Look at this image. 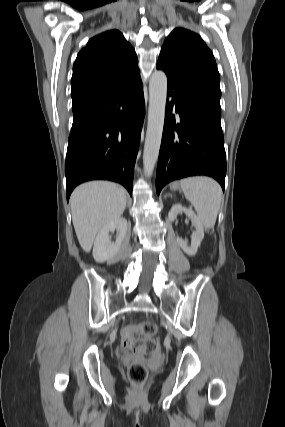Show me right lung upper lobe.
<instances>
[{"instance_id": "right-lung-upper-lobe-1", "label": "right lung upper lobe", "mask_w": 285, "mask_h": 427, "mask_svg": "<svg viewBox=\"0 0 285 427\" xmlns=\"http://www.w3.org/2000/svg\"><path fill=\"white\" fill-rule=\"evenodd\" d=\"M140 76L135 50L117 30L89 40L74 63L72 108Z\"/></svg>"}]
</instances>
